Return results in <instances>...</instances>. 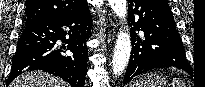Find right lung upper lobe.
I'll return each instance as SVG.
<instances>
[{"label":"right lung upper lobe","mask_w":205,"mask_h":87,"mask_svg":"<svg viewBox=\"0 0 205 87\" xmlns=\"http://www.w3.org/2000/svg\"><path fill=\"white\" fill-rule=\"evenodd\" d=\"M86 4V0H26L25 25L60 18Z\"/></svg>","instance_id":"right-lung-upper-lobe-1"}]
</instances>
